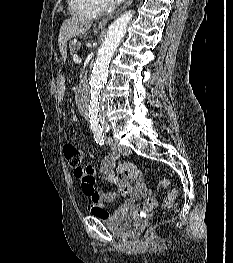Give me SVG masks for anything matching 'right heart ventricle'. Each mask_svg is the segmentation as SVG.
I'll return each mask as SVG.
<instances>
[{"label": "right heart ventricle", "mask_w": 233, "mask_h": 263, "mask_svg": "<svg viewBox=\"0 0 233 263\" xmlns=\"http://www.w3.org/2000/svg\"><path fill=\"white\" fill-rule=\"evenodd\" d=\"M70 7L74 15L85 19H93L101 13L96 0H70Z\"/></svg>", "instance_id": "1"}]
</instances>
